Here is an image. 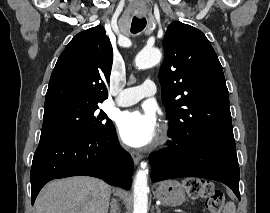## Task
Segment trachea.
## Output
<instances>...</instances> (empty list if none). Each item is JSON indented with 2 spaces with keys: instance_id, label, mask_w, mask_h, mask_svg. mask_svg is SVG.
I'll return each mask as SVG.
<instances>
[{
  "instance_id": "obj_1",
  "label": "trachea",
  "mask_w": 270,
  "mask_h": 213,
  "mask_svg": "<svg viewBox=\"0 0 270 213\" xmlns=\"http://www.w3.org/2000/svg\"><path fill=\"white\" fill-rule=\"evenodd\" d=\"M145 26H146V19L133 18L131 24V32L138 33L142 31L145 28Z\"/></svg>"
}]
</instances>
